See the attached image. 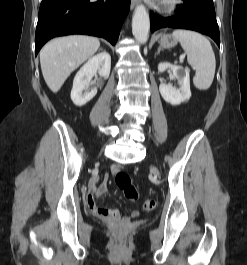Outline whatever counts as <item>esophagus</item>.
<instances>
[{
    "label": "esophagus",
    "mask_w": 247,
    "mask_h": 265,
    "mask_svg": "<svg viewBox=\"0 0 247 265\" xmlns=\"http://www.w3.org/2000/svg\"><path fill=\"white\" fill-rule=\"evenodd\" d=\"M139 3V0H131V6L135 7Z\"/></svg>",
    "instance_id": "obj_1"
}]
</instances>
